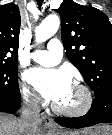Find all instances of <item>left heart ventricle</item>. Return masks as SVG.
<instances>
[{
	"instance_id": "left-heart-ventricle-1",
	"label": "left heart ventricle",
	"mask_w": 112,
	"mask_h": 135,
	"mask_svg": "<svg viewBox=\"0 0 112 135\" xmlns=\"http://www.w3.org/2000/svg\"><path fill=\"white\" fill-rule=\"evenodd\" d=\"M83 103V94L74 86H71L67 94L57 102V104L65 109H76Z\"/></svg>"
}]
</instances>
